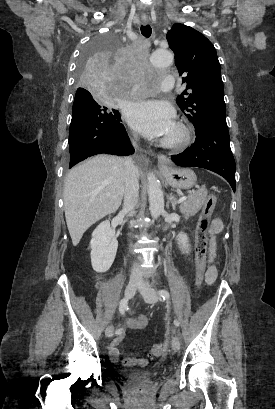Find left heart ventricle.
<instances>
[{
  "label": "left heart ventricle",
  "mask_w": 275,
  "mask_h": 409,
  "mask_svg": "<svg viewBox=\"0 0 275 409\" xmlns=\"http://www.w3.org/2000/svg\"><path fill=\"white\" fill-rule=\"evenodd\" d=\"M174 133H175V130H174V127H173V129L164 137H171V136L174 135Z\"/></svg>",
  "instance_id": "left-heart-ventricle-1"
}]
</instances>
